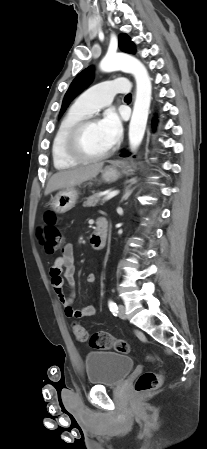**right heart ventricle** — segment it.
<instances>
[{
  "mask_svg": "<svg viewBox=\"0 0 207 449\" xmlns=\"http://www.w3.org/2000/svg\"><path fill=\"white\" fill-rule=\"evenodd\" d=\"M89 115L74 103L61 120L53 137L51 148L53 165L56 169L64 170L77 165L78 161L70 158L65 152V138L75 123Z\"/></svg>",
  "mask_w": 207,
  "mask_h": 449,
  "instance_id": "1",
  "label": "right heart ventricle"
}]
</instances>
